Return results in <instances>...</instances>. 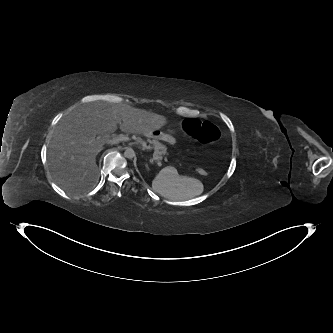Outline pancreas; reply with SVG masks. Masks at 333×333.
Returning <instances> with one entry per match:
<instances>
[{
  "mask_svg": "<svg viewBox=\"0 0 333 333\" xmlns=\"http://www.w3.org/2000/svg\"><path fill=\"white\" fill-rule=\"evenodd\" d=\"M148 142L153 145V147L156 151V155L159 157V160L164 158V160L167 162V160H168L167 159V156H168L167 147L156 139H149Z\"/></svg>",
  "mask_w": 333,
  "mask_h": 333,
  "instance_id": "cf45deb5",
  "label": "pancreas"
}]
</instances>
